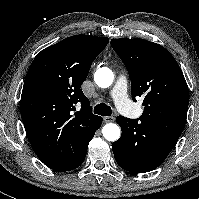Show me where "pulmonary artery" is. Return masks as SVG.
Wrapping results in <instances>:
<instances>
[{
    "instance_id": "e3ab8cb5",
    "label": "pulmonary artery",
    "mask_w": 199,
    "mask_h": 199,
    "mask_svg": "<svg viewBox=\"0 0 199 199\" xmlns=\"http://www.w3.org/2000/svg\"><path fill=\"white\" fill-rule=\"evenodd\" d=\"M111 97L120 111L126 112L129 105L128 82L124 75H120L111 91Z\"/></svg>"
}]
</instances>
